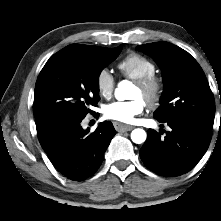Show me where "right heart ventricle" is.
<instances>
[{
	"label": "right heart ventricle",
	"mask_w": 221,
	"mask_h": 221,
	"mask_svg": "<svg viewBox=\"0 0 221 221\" xmlns=\"http://www.w3.org/2000/svg\"><path fill=\"white\" fill-rule=\"evenodd\" d=\"M118 69L123 77L137 80L155 74L156 65L141 54L130 53L118 63Z\"/></svg>",
	"instance_id": "right-heart-ventricle-1"
}]
</instances>
